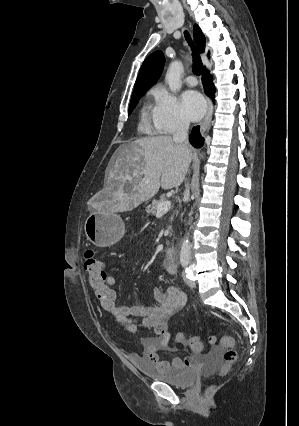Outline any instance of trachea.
Returning <instances> with one entry per match:
<instances>
[{
	"mask_svg": "<svg viewBox=\"0 0 299 426\" xmlns=\"http://www.w3.org/2000/svg\"><path fill=\"white\" fill-rule=\"evenodd\" d=\"M185 37H186V40L188 41L189 45L193 49L192 55H193V68H194V72L197 75H201L203 73V64H202V61H201V59H200L197 51L194 49L193 43H192V41H191V39L189 37V34L187 32H185Z\"/></svg>",
	"mask_w": 299,
	"mask_h": 426,
	"instance_id": "1",
	"label": "trachea"
}]
</instances>
